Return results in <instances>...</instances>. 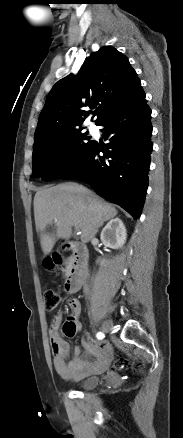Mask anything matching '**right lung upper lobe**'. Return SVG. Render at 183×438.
<instances>
[{
  "mask_svg": "<svg viewBox=\"0 0 183 438\" xmlns=\"http://www.w3.org/2000/svg\"><path fill=\"white\" fill-rule=\"evenodd\" d=\"M144 93L128 58L113 47L87 57L76 76L59 80L47 96L35 130V140L80 128L88 117L82 108H96V125L119 107Z\"/></svg>",
  "mask_w": 183,
  "mask_h": 438,
  "instance_id": "cb5924a9",
  "label": "right lung upper lobe"
}]
</instances>
